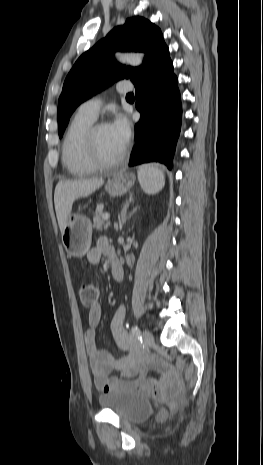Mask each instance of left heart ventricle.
<instances>
[{
    "mask_svg": "<svg viewBox=\"0 0 263 465\" xmlns=\"http://www.w3.org/2000/svg\"><path fill=\"white\" fill-rule=\"evenodd\" d=\"M96 140L98 152L105 160H113L117 158L124 150V147L113 135L110 126L100 128L97 133Z\"/></svg>",
    "mask_w": 263,
    "mask_h": 465,
    "instance_id": "1",
    "label": "left heart ventricle"
}]
</instances>
